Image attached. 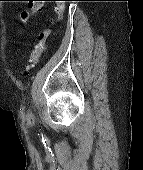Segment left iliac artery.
<instances>
[{
	"label": "left iliac artery",
	"mask_w": 143,
	"mask_h": 170,
	"mask_svg": "<svg viewBox=\"0 0 143 170\" xmlns=\"http://www.w3.org/2000/svg\"><path fill=\"white\" fill-rule=\"evenodd\" d=\"M31 117H32V116L30 115V118H31ZM29 123H30V125L32 126L34 122L29 121Z\"/></svg>",
	"instance_id": "obj_1"
}]
</instances>
